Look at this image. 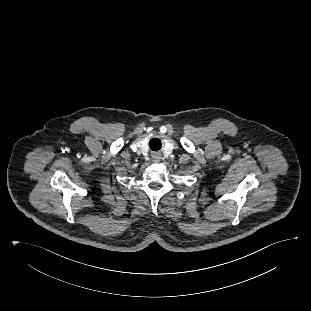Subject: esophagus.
Here are the masks:
<instances>
[{"mask_svg": "<svg viewBox=\"0 0 311 311\" xmlns=\"http://www.w3.org/2000/svg\"><path fill=\"white\" fill-rule=\"evenodd\" d=\"M160 159H161V157H160L159 155H154V156H153V161H154V162H159Z\"/></svg>", "mask_w": 311, "mask_h": 311, "instance_id": "1", "label": "esophagus"}]
</instances>
